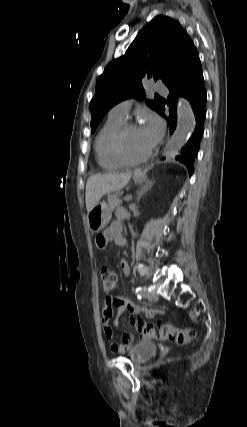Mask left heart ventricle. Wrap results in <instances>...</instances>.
<instances>
[{
	"instance_id": "obj_1",
	"label": "left heart ventricle",
	"mask_w": 247,
	"mask_h": 427,
	"mask_svg": "<svg viewBox=\"0 0 247 427\" xmlns=\"http://www.w3.org/2000/svg\"><path fill=\"white\" fill-rule=\"evenodd\" d=\"M151 147L140 128L130 130L125 137V151L131 158L142 156Z\"/></svg>"
}]
</instances>
